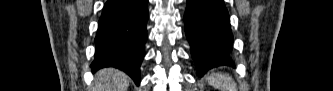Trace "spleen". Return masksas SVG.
<instances>
[{"label": "spleen", "mask_w": 333, "mask_h": 91, "mask_svg": "<svg viewBox=\"0 0 333 91\" xmlns=\"http://www.w3.org/2000/svg\"><path fill=\"white\" fill-rule=\"evenodd\" d=\"M208 83L220 91H236L235 82L229 74L212 73L207 76Z\"/></svg>", "instance_id": "spleen-1"}]
</instances>
